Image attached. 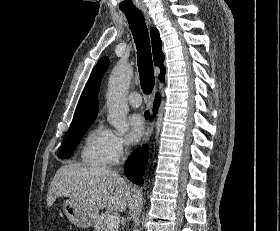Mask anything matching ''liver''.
Here are the masks:
<instances>
[{
  "mask_svg": "<svg viewBox=\"0 0 280 231\" xmlns=\"http://www.w3.org/2000/svg\"><path fill=\"white\" fill-rule=\"evenodd\" d=\"M136 185L126 183L117 171L87 167L79 163H69L57 169L48 189L47 205L51 207L57 197H70L90 207L95 221L99 209L124 211L130 205V193Z\"/></svg>",
  "mask_w": 280,
  "mask_h": 231,
  "instance_id": "1",
  "label": "liver"
}]
</instances>
